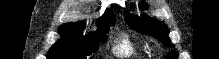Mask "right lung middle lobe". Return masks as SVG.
<instances>
[{
  "label": "right lung middle lobe",
  "instance_id": "right-lung-middle-lobe-1",
  "mask_svg": "<svg viewBox=\"0 0 219 59\" xmlns=\"http://www.w3.org/2000/svg\"><path fill=\"white\" fill-rule=\"evenodd\" d=\"M97 29L89 36L82 35L81 27L64 26L60 28L61 38L52 45L47 54V59H86V56L98 51L96 41L105 42L109 28Z\"/></svg>",
  "mask_w": 219,
  "mask_h": 59
}]
</instances>
